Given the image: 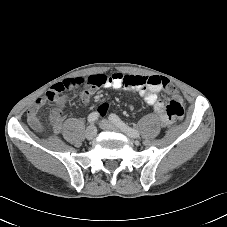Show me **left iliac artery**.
Here are the masks:
<instances>
[{
	"label": "left iliac artery",
	"mask_w": 227,
	"mask_h": 227,
	"mask_svg": "<svg viewBox=\"0 0 227 227\" xmlns=\"http://www.w3.org/2000/svg\"><path fill=\"white\" fill-rule=\"evenodd\" d=\"M109 120H111L117 127H119L123 132H125L127 135H129L132 138L139 137V132L126 125L117 115L111 114L109 115Z\"/></svg>",
	"instance_id": "obj_1"
}]
</instances>
